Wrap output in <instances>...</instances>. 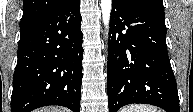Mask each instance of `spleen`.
Returning a JSON list of instances; mask_svg holds the SVG:
<instances>
[{"label": "spleen", "mask_w": 193, "mask_h": 112, "mask_svg": "<svg viewBox=\"0 0 193 112\" xmlns=\"http://www.w3.org/2000/svg\"><path fill=\"white\" fill-rule=\"evenodd\" d=\"M122 112H159L157 108L147 105H130L122 110Z\"/></svg>", "instance_id": "obj_1"}]
</instances>
